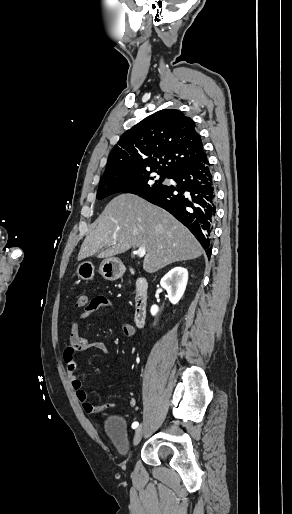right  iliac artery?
<instances>
[{"instance_id":"1","label":"right iliac artery","mask_w":292,"mask_h":514,"mask_svg":"<svg viewBox=\"0 0 292 514\" xmlns=\"http://www.w3.org/2000/svg\"><path fill=\"white\" fill-rule=\"evenodd\" d=\"M138 425H139V423H138V422H134V423L132 424V428H133V429H135V428H137V427H138Z\"/></svg>"}]
</instances>
